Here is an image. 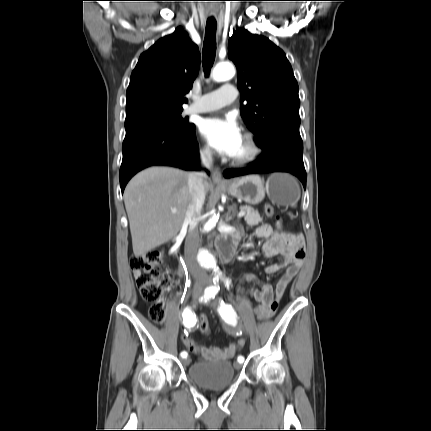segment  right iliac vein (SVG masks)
<instances>
[{
	"mask_svg": "<svg viewBox=\"0 0 431 431\" xmlns=\"http://www.w3.org/2000/svg\"><path fill=\"white\" fill-rule=\"evenodd\" d=\"M200 296H201V292L200 291H195L193 293V302H197L198 299L200 298ZM189 362H190V359L189 358H185L182 363H183L184 366H186V365L189 364Z\"/></svg>",
	"mask_w": 431,
	"mask_h": 431,
	"instance_id": "right-iliac-vein-1",
	"label": "right iliac vein"
}]
</instances>
